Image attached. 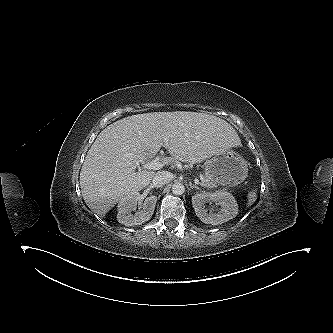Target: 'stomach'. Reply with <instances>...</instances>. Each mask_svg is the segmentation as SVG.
<instances>
[{
  "label": "stomach",
  "instance_id": "obj_1",
  "mask_svg": "<svg viewBox=\"0 0 333 333\" xmlns=\"http://www.w3.org/2000/svg\"><path fill=\"white\" fill-rule=\"evenodd\" d=\"M247 175L246 161L231 149L216 154L205 166V177L218 185L236 186L243 182Z\"/></svg>",
  "mask_w": 333,
  "mask_h": 333
}]
</instances>
